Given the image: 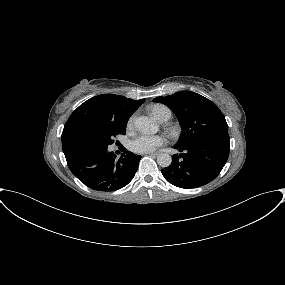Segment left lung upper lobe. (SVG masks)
<instances>
[{"label":"left lung upper lobe","mask_w":285,"mask_h":285,"mask_svg":"<svg viewBox=\"0 0 285 285\" xmlns=\"http://www.w3.org/2000/svg\"><path fill=\"white\" fill-rule=\"evenodd\" d=\"M154 102L168 106L178 117L182 133L175 146L185 147L202 141L230 144L228 125L219 108L209 99L191 91H180Z\"/></svg>","instance_id":"5c2ea615"}]
</instances>
